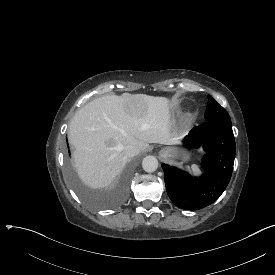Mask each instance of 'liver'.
Instances as JSON below:
<instances>
[{
    "instance_id": "obj_1",
    "label": "liver",
    "mask_w": 275,
    "mask_h": 275,
    "mask_svg": "<svg viewBox=\"0 0 275 275\" xmlns=\"http://www.w3.org/2000/svg\"><path fill=\"white\" fill-rule=\"evenodd\" d=\"M172 101L168 97L122 93L92 100L73 116L67 138L81 183L110 192L128 163L127 145L139 153L150 143L175 144L184 133L172 132Z\"/></svg>"
}]
</instances>
